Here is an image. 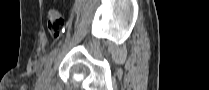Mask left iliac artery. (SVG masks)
<instances>
[{"label": "left iliac artery", "mask_w": 209, "mask_h": 90, "mask_svg": "<svg viewBox=\"0 0 209 90\" xmlns=\"http://www.w3.org/2000/svg\"><path fill=\"white\" fill-rule=\"evenodd\" d=\"M59 51V47H55L51 52L50 54L47 56V59H46V65L47 66H50L52 61L54 60V58L56 57L57 53Z\"/></svg>", "instance_id": "44dca946"}]
</instances>
